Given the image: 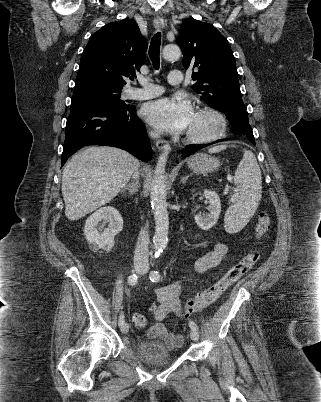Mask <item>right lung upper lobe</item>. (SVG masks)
I'll list each match as a JSON object with an SVG mask.
<instances>
[{
  "instance_id": "obj_1",
  "label": "right lung upper lobe",
  "mask_w": 321,
  "mask_h": 402,
  "mask_svg": "<svg viewBox=\"0 0 321 402\" xmlns=\"http://www.w3.org/2000/svg\"><path fill=\"white\" fill-rule=\"evenodd\" d=\"M147 41L134 20L109 23L94 33L80 60L76 84L99 83L122 89L125 77L145 62Z\"/></svg>"
}]
</instances>
